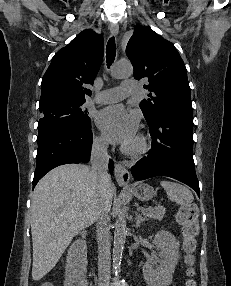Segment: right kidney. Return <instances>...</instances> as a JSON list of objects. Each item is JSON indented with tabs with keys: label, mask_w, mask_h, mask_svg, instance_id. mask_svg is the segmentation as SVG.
I'll return each instance as SVG.
<instances>
[{
	"label": "right kidney",
	"mask_w": 231,
	"mask_h": 286,
	"mask_svg": "<svg viewBox=\"0 0 231 286\" xmlns=\"http://www.w3.org/2000/svg\"><path fill=\"white\" fill-rule=\"evenodd\" d=\"M85 242L75 241L69 248L66 267L64 286H88L86 279L87 256L84 252Z\"/></svg>",
	"instance_id": "obj_1"
}]
</instances>
